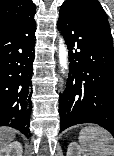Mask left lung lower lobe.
<instances>
[{
	"instance_id": "1",
	"label": "left lung lower lobe",
	"mask_w": 114,
	"mask_h": 156,
	"mask_svg": "<svg viewBox=\"0 0 114 156\" xmlns=\"http://www.w3.org/2000/svg\"><path fill=\"white\" fill-rule=\"evenodd\" d=\"M58 29L69 49V78L59 97L60 131L95 123L114 136V48L110 27L82 7L63 3Z\"/></svg>"
}]
</instances>
